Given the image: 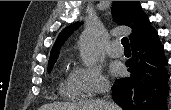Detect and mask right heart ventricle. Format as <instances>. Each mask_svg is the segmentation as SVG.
Segmentation results:
<instances>
[{
  "label": "right heart ventricle",
  "mask_w": 171,
  "mask_h": 110,
  "mask_svg": "<svg viewBox=\"0 0 171 110\" xmlns=\"http://www.w3.org/2000/svg\"><path fill=\"white\" fill-rule=\"evenodd\" d=\"M59 92L62 96L69 99H78L83 97L82 89L74 78L73 73H69L61 78Z\"/></svg>",
  "instance_id": "obj_1"
}]
</instances>
